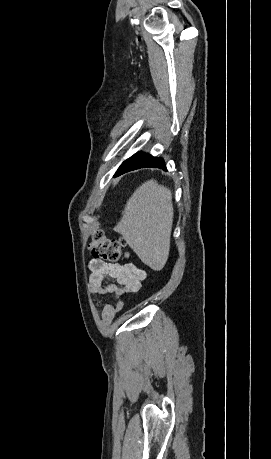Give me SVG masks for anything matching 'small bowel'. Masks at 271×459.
<instances>
[{
  "mask_svg": "<svg viewBox=\"0 0 271 459\" xmlns=\"http://www.w3.org/2000/svg\"><path fill=\"white\" fill-rule=\"evenodd\" d=\"M89 268V290L117 299L116 302L105 305L102 310V322L109 324L125 306L122 297L138 291L141 282L146 278V272L134 264L106 263L98 259H93ZM106 279L113 281L105 285Z\"/></svg>",
  "mask_w": 271,
  "mask_h": 459,
  "instance_id": "c3829d8e",
  "label": "small bowel"
}]
</instances>
